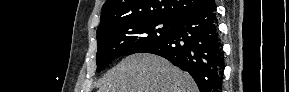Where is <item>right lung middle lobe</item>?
<instances>
[{"label":"right lung middle lobe","instance_id":"obj_1","mask_svg":"<svg viewBox=\"0 0 289 92\" xmlns=\"http://www.w3.org/2000/svg\"><path fill=\"white\" fill-rule=\"evenodd\" d=\"M173 28V21L146 18L122 21L98 31L97 72L120 56L138 53L149 45L165 40Z\"/></svg>","mask_w":289,"mask_h":92}]
</instances>
